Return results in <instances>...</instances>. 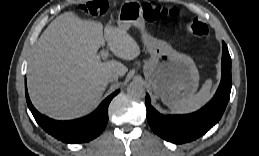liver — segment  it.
Returning a JSON list of instances; mask_svg holds the SVG:
<instances>
[{
  "instance_id": "6515ba94",
  "label": "liver",
  "mask_w": 259,
  "mask_h": 156,
  "mask_svg": "<svg viewBox=\"0 0 259 156\" xmlns=\"http://www.w3.org/2000/svg\"><path fill=\"white\" fill-rule=\"evenodd\" d=\"M105 40L112 53L133 60L140 47L127 29L103 26L81 19L74 12L56 17L36 43L27 70L31 101L41 113L57 120H71L94 109L109 81L107 75H125L127 67L110 60L100 62L97 51Z\"/></svg>"
}]
</instances>
